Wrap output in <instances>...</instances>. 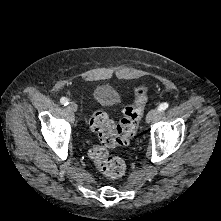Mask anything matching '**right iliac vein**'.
I'll return each instance as SVG.
<instances>
[{
  "label": "right iliac vein",
  "instance_id": "1",
  "mask_svg": "<svg viewBox=\"0 0 221 221\" xmlns=\"http://www.w3.org/2000/svg\"><path fill=\"white\" fill-rule=\"evenodd\" d=\"M68 108H69V110H71L73 112H76L77 109H78V106L75 102H70L69 105H68Z\"/></svg>",
  "mask_w": 221,
  "mask_h": 221
}]
</instances>
